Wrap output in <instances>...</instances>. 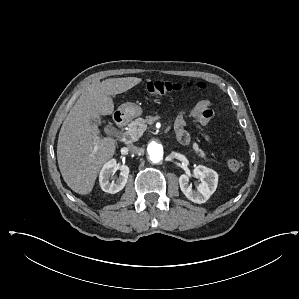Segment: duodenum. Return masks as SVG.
Wrapping results in <instances>:
<instances>
[{
	"mask_svg": "<svg viewBox=\"0 0 299 299\" xmlns=\"http://www.w3.org/2000/svg\"><path fill=\"white\" fill-rule=\"evenodd\" d=\"M113 118H114V121H115L118 129L122 130L125 127L126 121H127L125 115L122 114L121 112H115L113 115ZM119 140L120 141L122 140L121 136L119 137Z\"/></svg>",
	"mask_w": 299,
	"mask_h": 299,
	"instance_id": "duodenum-1",
	"label": "duodenum"
}]
</instances>
